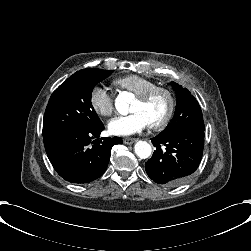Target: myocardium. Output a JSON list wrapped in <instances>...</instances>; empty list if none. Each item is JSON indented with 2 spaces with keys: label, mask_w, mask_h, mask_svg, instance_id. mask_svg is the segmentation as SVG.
<instances>
[{
  "label": "myocardium",
  "mask_w": 251,
  "mask_h": 251,
  "mask_svg": "<svg viewBox=\"0 0 251 251\" xmlns=\"http://www.w3.org/2000/svg\"><path fill=\"white\" fill-rule=\"evenodd\" d=\"M158 92H164L168 95L169 107L166 114L161 119L150 123V127L154 129L165 127L172 119L176 110V105H177V99H176V95L174 91L169 87L156 84L150 89L146 90L145 92L137 96L139 100L143 102H149L154 97V95Z\"/></svg>",
  "instance_id": "obj_1"
}]
</instances>
